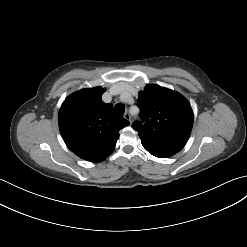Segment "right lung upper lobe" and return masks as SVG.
Masks as SVG:
<instances>
[{
  "mask_svg": "<svg viewBox=\"0 0 247 247\" xmlns=\"http://www.w3.org/2000/svg\"><path fill=\"white\" fill-rule=\"evenodd\" d=\"M105 88L82 89L65 99L59 111L60 133L80 158L98 163L111 155L119 130L129 122L115 116L113 106L101 99Z\"/></svg>",
  "mask_w": 247,
  "mask_h": 247,
  "instance_id": "cb5924a9",
  "label": "right lung upper lobe"
}]
</instances>
